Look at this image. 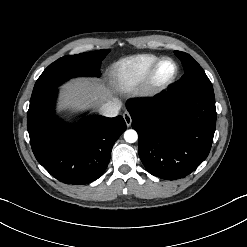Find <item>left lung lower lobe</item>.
Segmentation results:
<instances>
[{
	"instance_id": "left-lung-lower-lobe-1",
	"label": "left lung lower lobe",
	"mask_w": 247,
	"mask_h": 247,
	"mask_svg": "<svg viewBox=\"0 0 247 247\" xmlns=\"http://www.w3.org/2000/svg\"><path fill=\"white\" fill-rule=\"evenodd\" d=\"M138 132L147 171L164 180L184 178L208 156L216 127L213 91L173 92L126 104Z\"/></svg>"
}]
</instances>
